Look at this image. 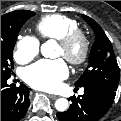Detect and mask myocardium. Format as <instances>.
<instances>
[{
	"label": "myocardium",
	"instance_id": "f54148a6",
	"mask_svg": "<svg viewBox=\"0 0 121 121\" xmlns=\"http://www.w3.org/2000/svg\"><path fill=\"white\" fill-rule=\"evenodd\" d=\"M59 45L65 51V59L72 65L78 66L86 61L90 52V40L80 29L74 30L58 40ZM80 45L77 53L73 54V48Z\"/></svg>",
	"mask_w": 121,
	"mask_h": 121
}]
</instances>
